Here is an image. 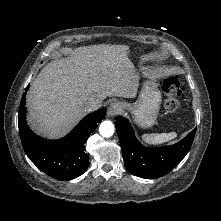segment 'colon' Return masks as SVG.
Segmentation results:
<instances>
[{
  "instance_id": "obj_1",
  "label": "colon",
  "mask_w": 221,
  "mask_h": 221,
  "mask_svg": "<svg viewBox=\"0 0 221 221\" xmlns=\"http://www.w3.org/2000/svg\"><path fill=\"white\" fill-rule=\"evenodd\" d=\"M162 91L165 95L164 107L167 112H175L180 107L179 95L181 93L180 83L174 77H167L163 80Z\"/></svg>"
}]
</instances>
